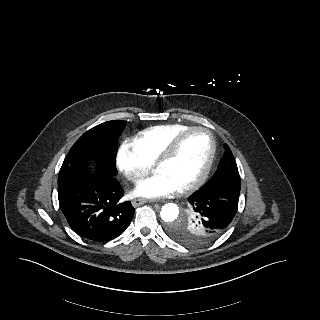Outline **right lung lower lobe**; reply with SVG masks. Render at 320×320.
Instances as JSON below:
<instances>
[{"mask_svg": "<svg viewBox=\"0 0 320 320\" xmlns=\"http://www.w3.org/2000/svg\"><path fill=\"white\" fill-rule=\"evenodd\" d=\"M124 191L110 175L96 172L58 185L60 208L69 226L81 237L107 242L129 226L135 209L122 202Z\"/></svg>", "mask_w": 320, "mask_h": 320, "instance_id": "1", "label": "right lung lower lobe"}]
</instances>
